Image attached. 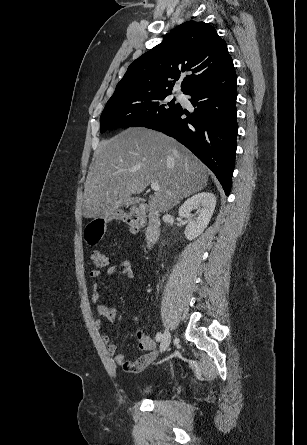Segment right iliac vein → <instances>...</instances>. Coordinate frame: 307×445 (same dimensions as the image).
<instances>
[{"label":"right iliac vein","instance_id":"obj_1","mask_svg":"<svg viewBox=\"0 0 307 445\" xmlns=\"http://www.w3.org/2000/svg\"><path fill=\"white\" fill-rule=\"evenodd\" d=\"M171 342V334L168 330H166L161 338V343H160V352H164L169 344Z\"/></svg>","mask_w":307,"mask_h":445}]
</instances>
